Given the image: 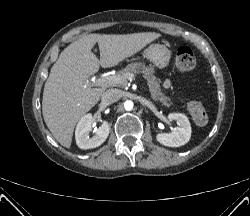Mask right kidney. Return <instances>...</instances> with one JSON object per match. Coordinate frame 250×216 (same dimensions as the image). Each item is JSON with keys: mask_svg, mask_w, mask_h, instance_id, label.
Here are the masks:
<instances>
[{"mask_svg": "<svg viewBox=\"0 0 250 216\" xmlns=\"http://www.w3.org/2000/svg\"><path fill=\"white\" fill-rule=\"evenodd\" d=\"M92 131V115H84L77 124L75 130L76 144L81 149H91L100 146L107 139L110 126L107 121H103L102 125L95 130V135L89 137Z\"/></svg>", "mask_w": 250, "mask_h": 216, "instance_id": "ca27d5eb", "label": "right kidney"}]
</instances>
